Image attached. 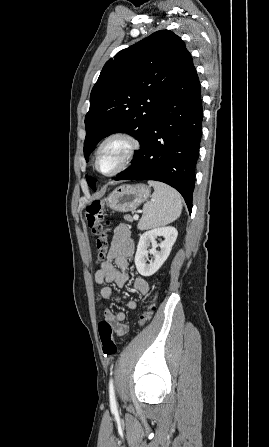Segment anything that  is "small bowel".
Masks as SVG:
<instances>
[{"label": "small bowel", "mask_w": 269, "mask_h": 447, "mask_svg": "<svg viewBox=\"0 0 269 447\" xmlns=\"http://www.w3.org/2000/svg\"><path fill=\"white\" fill-rule=\"evenodd\" d=\"M135 253V245L130 238V232L125 225H119L114 231V237L106 260L100 265L95 273L97 284L111 283L117 287H124L128 282L129 262ZM133 288L140 295H146L149 292V284L142 278L133 279ZM101 298L113 300L116 303L122 302V297L115 294L111 287L103 286L100 291ZM126 307L130 310L137 308V302L130 299L126 302ZM104 319L111 321V326L118 335L122 336L128 332V327L123 323L125 313H114L107 309L104 311Z\"/></svg>", "instance_id": "obj_1"}]
</instances>
